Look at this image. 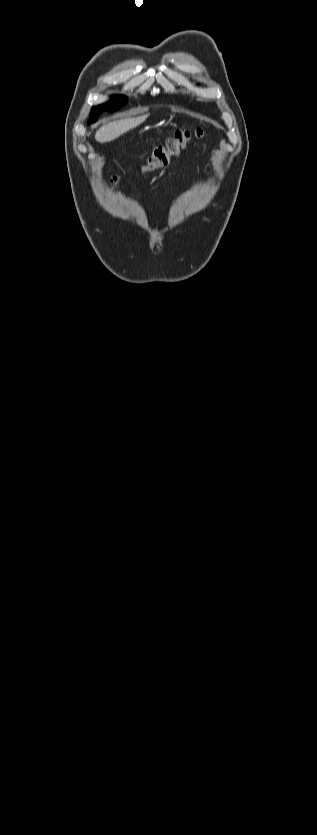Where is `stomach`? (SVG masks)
I'll use <instances>...</instances> for the list:
<instances>
[{"label":"stomach","instance_id":"1","mask_svg":"<svg viewBox=\"0 0 317 835\" xmlns=\"http://www.w3.org/2000/svg\"><path fill=\"white\" fill-rule=\"evenodd\" d=\"M156 131H157L158 133H161V132H162L161 128H159V127H158V128H156Z\"/></svg>","mask_w":317,"mask_h":835}]
</instances>
